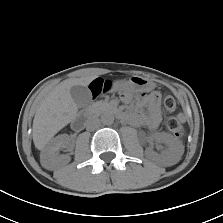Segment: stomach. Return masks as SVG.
Wrapping results in <instances>:
<instances>
[{"instance_id": "1", "label": "stomach", "mask_w": 223, "mask_h": 223, "mask_svg": "<svg viewBox=\"0 0 223 223\" xmlns=\"http://www.w3.org/2000/svg\"><path fill=\"white\" fill-rule=\"evenodd\" d=\"M113 90L123 93H133L137 91H150L154 84L140 76H132L128 80L117 81L112 86Z\"/></svg>"}]
</instances>
